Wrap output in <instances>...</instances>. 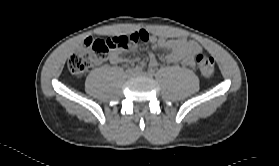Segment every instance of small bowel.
Segmentation results:
<instances>
[{
	"instance_id": "c3829d8e",
	"label": "small bowel",
	"mask_w": 279,
	"mask_h": 166,
	"mask_svg": "<svg viewBox=\"0 0 279 166\" xmlns=\"http://www.w3.org/2000/svg\"><path fill=\"white\" fill-rule=\"evenodd\" d=\"M128 36L136 39V41L130 45H133L138 41H144V42H149L154 44L158 49L170 50V52L166 56V60L169 63L180 62L185 66L192 67L194 66V59L196 54H198L201 51V46L195 41L187 40L185 38H178V39H166L162 37L158 38L154 35H150L144 29L133 32ZM127 48H119V49L112 50L110 54V62L115 65L124 62L125 60L123 57V53ZM136 60L137 59L134 58L131 61L133 62ZM157 64L158 62L155 57V53L154 51H152L149 53V66L156 67Z\"/></svg>"
}]
</instances>
